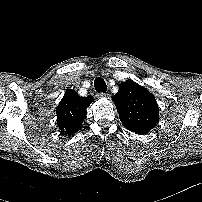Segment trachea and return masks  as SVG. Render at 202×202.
<instances>
[{
    "mask_svg": "<svg viewBox=\"0 0 202 202\" xmlns=\"http://www.w3.org/2000/svg\"><path fill=\"white\" fill-rule=\"evenodd\" d=\"M94 87L97 92L105 93L107 91V85L103 78L97 77L94 80Z\"/></svg>",
    "mask_w": 202,
    "mask_h": 202,
    "instance_id": "1",
    "label": "trachea"
}]
</instances>
